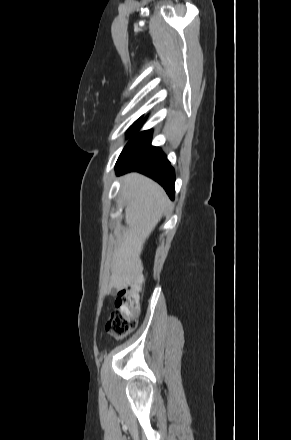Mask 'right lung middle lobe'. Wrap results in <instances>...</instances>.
<instances>
[{"mask_svg": "<svg viewBox=\"0 0 291 440\" xmlns=\"http://www.w3.org/2000/svg\"><path fill=\"white\" fill-rule=\"evenodd\" d=\"M141 118L142 117H140L136 122H134V124L129 128V130L127 131L128 136L135 130V128L139 124Z\"/></svg>", "mask_w": 291, "mask_h": 440, "instance_id": "1", "label": "right lung middle lobe"}]
</instances>
